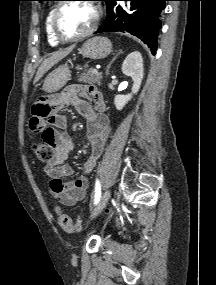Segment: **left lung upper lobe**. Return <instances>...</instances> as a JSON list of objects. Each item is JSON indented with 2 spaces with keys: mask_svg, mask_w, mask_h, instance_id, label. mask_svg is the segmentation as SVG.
<instances>
[{
  "mask_svg": "<svg viewBox=\"0 0 216 285\" xmlns=\"http://www.w3.org/2000/svg\"><path fill=\"white\" fill-rule=\"evenodd\" d=\"M38 1H40V2H41V1H46V0H38ZM102 1H105V2H106V4H108L110 0H102Z\"/></svg>",
  "mask_w": 216,
  "mask_h": 285,
  "instance_id": "5c2ea615",
  "label": "left lung upper lobe"
}]
</instances>
